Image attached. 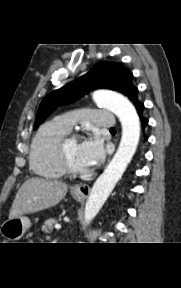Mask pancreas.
I'll list each match as a JSON object with an SVG mask.
<instances>
[{
	"instance_id": "obj_1",
	"label": "pancreas",
	"mask_w": 181,
	"mask_h": 288,
	"mask_svg": "<svg viewBox=\"0 0 181 288\" xmlns=\"http://www.w3.org/2000/svg\"><path fill=\"white\" fill-rule=\"evenodd\" d=\"M57 224V220L54 218L47 219L42 225V231L45 233H50L52 231L53 225Z\"/></svg>"
}]
</instances>
